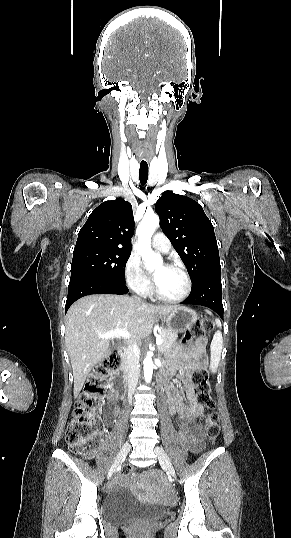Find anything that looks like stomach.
<instances>
[{
	"mask_svg": "<svg viewBox=\"0 0 291 538\" xmlns=\"http://www.w3.org/2000/svg\"><path fill=\"white\" fill-rule=\"evenodd\" d=\"M164 319L168 329L177 334L190 329L197 321V314L189 308L180 306L172 310Z\"/></svg>",
	"mask_w": 291,
	"mask_h": 538,
	"instance_id": "stomach-1",
	"label": "stomach"
}]
</instances>
